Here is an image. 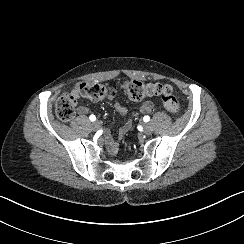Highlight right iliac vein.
Wrapping results in <instances>:
<instances>
[{
	"instance_id": "right-iliac-vein-1",
	"label": "right iliac vein",
	"mask_w": 244,
	"mask_h": 244,
	"mask_svg": "<svg viewBox=\"0 0 244 244\" xmlns=\"http://www.w3.org/2000/svg\"><path fill=\"white\" fill-rule=\"evenodd\" d=\"M93 130H98L100 128V122L99 121H94L92 124Z\"/></svg>"
}]
</instances>
